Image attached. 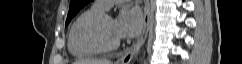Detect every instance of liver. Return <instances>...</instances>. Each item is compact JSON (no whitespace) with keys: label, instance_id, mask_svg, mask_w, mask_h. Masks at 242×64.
<instances>
[{"label":"liver","instance_id":"obj_1","mask_svg":"<svg viewBox=\"0 0 242 64\" xmlns=\"http://www.w3.org/2000/svg\"><path fill=\"white\" fill-rule=\"evenodd\" d=\"M75 64H112V62L107 59H91L76 61Z\"/></svg>","mask_w":242,"mask_h":64}]
</instances>
